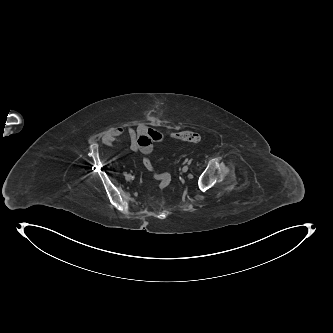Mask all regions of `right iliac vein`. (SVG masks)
<instances>
[{
	"mask_svg": "<svg viewBox=\"0 0 333 333\" xmlns=\"http://www.w3.org/2000/svg\"><path fill=\"white\" fill-rule=\"evenodd\" d=\"M126 180H127V181L132 180V176H131L130 174H128V175L126 176Z\"/></svg>",
	"mask_w": 333,
	"mask_h": 333,
	"instance_id": "1",
	"label": "right iliac vein"
}]
</instances>
